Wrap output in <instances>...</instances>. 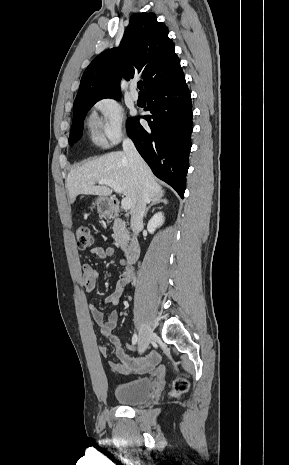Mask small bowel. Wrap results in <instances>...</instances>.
I'll return each instance as SVG.
<instances>
[{"mask_svg": "<svg viewBox=\"0 0 289 465\" xmlns=\"http://www.w3.org/2000/svg\"><path fill=\"white\" fill-rule=\"evenodd\" d=\"M91 252L96 257L102 259L113 257L116 253L114 247H96ZM120 264L124 267V271L118 278L115 291L105 298V304H111L113 306L118 305L120 299L124 295L125 286L133 278L134 273L132 268L126 265L123 260L120 261ZM98 277L99 272L95 270L91 264L84 263L82 265L81 284L86 292L90 293L95 289ZM88 308L94 321L100 328L101 335L105 339L109 340L115 347L116 356L119 361L109 362V366L114 372L126 375L132 372L144 374L153 371L155 366L161 360L160 354L158 352H152L146 356L142 362L136 364L133 358L126 353L120 339L114 334V330L118 323V312L116 310H112L107 318H105L103 313L95 304L90 303ZM100 353L105 356L107 354V348L105 346H101Z\"/></svg>", "mask_w": 289, "mask_h": 465, "instance_id": "small-bowel-1", "label": "small bowel"}]
</instances>
